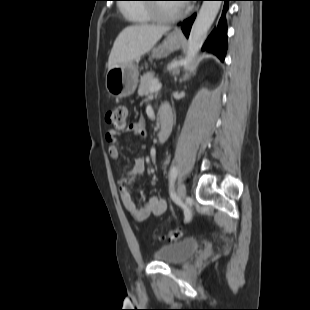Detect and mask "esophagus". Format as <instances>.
Returning a JSON list of instances; mask_svg holds the SVG:
<instances>
[{
  "label": "esophagus",
  "mask_w": 310,
  "mask_h": 310,
  "mask_svg": "<svg viewBox=\"0 0 310 310\" xmlns=\"http://www.w3.org/2000/svg\"><path fill=\"white\" fill-rule=\"evenodd\" d=\"M174 33H175L176 35H181L180 31H178V30H176Z\"/></svg>",
  "instance_id": "obj_1"
}]
</instances>
